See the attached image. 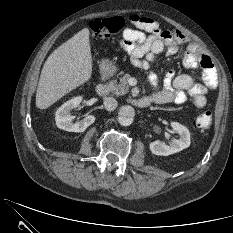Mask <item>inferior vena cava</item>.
Masks as SVG:
<instances>
[{
  "label": "inferior vena cava",
  "instance_id": "obj_1",
  "mask_svg": "<svg viewBox=\"0 0 233 233\" xmlns=\"http://www.w3.org/2000/svg\"><path fill=\"white\" fill-rule=\"evenodd\" d=\"M117 100L113 97H106L104 99V107L108 111H113L117 108Z\"/></svg>",
  "mask_w": 233,
  "mask_h": 233
}]
</instances>
